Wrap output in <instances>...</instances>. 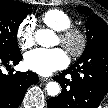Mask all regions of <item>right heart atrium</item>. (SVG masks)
I'll use <instances>...</instances> for the list:
<instances>
[{
	"mask_svg": "<svg viewBox=\"0 0 108 108\" xmlns=\"http://www.w3.org/2000/svg\"><path fill=\"white\" fill-rule=\"evenodd\" d=\"M16 37L19 46L27 49L34 44L35 41V22L31 17H26L18 26Z\"/></svg>",
	"mask_w": 108,
	"mask_h": 108,
	"instance_id": "right-heart-atrium-1",
	"label": "right heart atrium"
}]
</instances>
